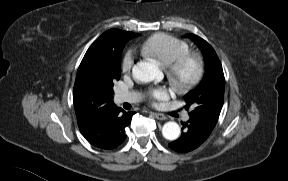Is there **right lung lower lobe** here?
<instances>
[{"label":"right lung lower lobe","instance_id":"obj_1","mask_svg":"<svg viewBox=\"0 0 288 181\" xmlns=\"http://www.w3.org/2000/svg\"><path fill=\"white\" fill-rule=\"evenodd\" d=\"M135 112H125L121 108L116 111L114 118L115 137L108 149L119 146L126 138L125 128L131 123V117Z\"/></svg>","mask_w":288,"mask_h":181}]
</instances>
